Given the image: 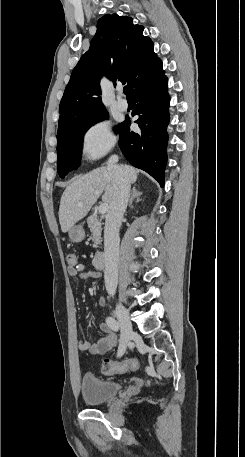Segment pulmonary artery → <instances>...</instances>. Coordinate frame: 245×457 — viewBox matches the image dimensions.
Instances as JSON below:
<instances>
[{"instance_id":"e3ab8cb5","label":"pulmonary artery","mask_w":245,"mask_h":457,"mask_svg":"<svg viewBox=\"0 0 245 457\" xmlns=\"http://www.w3.org/2000/svg\"><path fill=\"white\" fill-rule=\"evenodd\" d=\"M118 91L121 92V89L119 88ZM116 106H117V108H118L119 110L125 111V110H127V108H128V103H127V101H126L125 99L120 98V99L117 101Z\"/></svg>"}]
</instances>
